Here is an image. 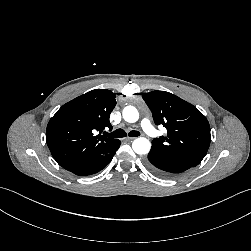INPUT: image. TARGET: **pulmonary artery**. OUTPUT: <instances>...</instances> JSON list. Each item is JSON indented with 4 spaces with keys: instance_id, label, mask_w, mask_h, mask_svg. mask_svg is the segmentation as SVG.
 Here are the masks:
<instances>
[{
    "instance_id": "pulmonary-artery-1",
    "label": "pulmonary artery",
    "mask_w": 251,
    "mask_h": 251,
    "mask_svg": "<svg viewBox=\"0 0 251 251\" xmlns=\"http://www.w3.org/2000/svg\"><path fill=\"white\" fill-rule=\"evenodd\" d=\"M140 126L144 130V132L147 135H149L150 137H156L157 136V132L154 129V127L152 126V124L150 123L149 119L143 118L141 120V122H140Z\"/></svg>"
}]
</instances>
